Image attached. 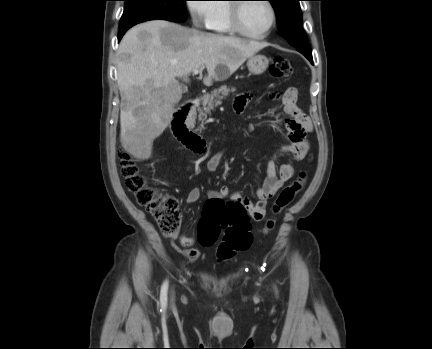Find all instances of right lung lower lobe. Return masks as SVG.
Listing matches in <instances>:
<instances>
[{"mask_svg":"<svg viewBox=\"0 0 432 349\" xmlns=\"http://www.w3.org/2000/svg\"><path fill=\"white\" fill-rule=\"evenodd\" d=\"M132 26H128L125 28H121L120 32L118 33V42L121 40V38L123 37V35L125 34V32L131 28Z\"/></svg>","mask_w":432,"mask_h":349,"instance_id":"right-lung-lower-lobe-1","label":"right lung lower lobe"}]
</instances>
